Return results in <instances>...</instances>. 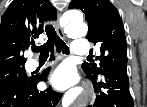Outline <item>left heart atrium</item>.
<instances>
[{
  "label": "left heart atrium",
  "mask_w": 147,
  "mask_h": 107,
  "mask_svg": "<svg viewBox=\"0 0 147 107\" xmlns=\"http://www.w3.org/2000/svg\"><path fill=\"white\" fill-rule=\"evenodd\" d=\"M77 81V74L73 67L61 65L51 77L53 86L59 90H64L72 86Z\"/></svg>",
  "instance_id": "39dd6f15"
}]
</instances>
